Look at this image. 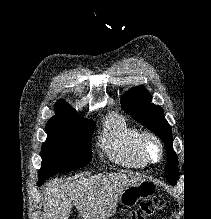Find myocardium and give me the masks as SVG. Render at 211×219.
Wrapping results in <instances>:
<instances>
[{"label": "myocardium", "mask_w": 211, "mask_h": 219, "mask_svg": "<svg viewBox=\"0 0 211 219\" xmlns=\"http://www.w3.org/2000/svg\"><path fill=\"white\" fill-rule=\"evenodd\" d=\"M154 144L157 148L156 156H153L148 151V145ZM138 151L142 158L148 164H155L162 160L164 155V145L161 139L153 132L145 131L140 134L138 139Z\"/></svg>", "instance_id": "obj_1"}]
</instances>
